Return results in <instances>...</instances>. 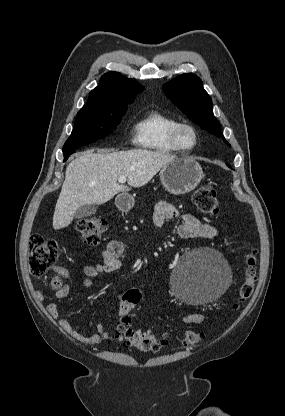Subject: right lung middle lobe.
<instances>
[{
    "mask_svg": "<svg viewBox=\"0 0 285 416\" xmlns=\"http://www.w3.org/2000/svg\"><path fill=\"white\" fill-rule=\"evenodd\" d=\"M126 111V106L108 109L83 107L78 112L73 131L65 142L63 151L72 150L104 138L120 123Z\"/></svg>",
    "mask_w": 285,
    "mask_h": 416,
    "instance_id": "1",
    "label": "right lung middle lobe"
}]
</instances>
